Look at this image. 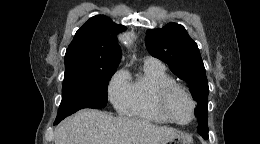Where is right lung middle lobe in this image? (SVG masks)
I'll return each instance as SVG.
<instances>
[{
	"label": "right lung middle lobe",
	"instance_id": "obj_1",
	"mask_svg": "<svg viewBox=\"0 0 260 144\" xmlns=\"http://www.w3.org/2000/svg\"><path fill=\"white\" fill-rule=\"evenodd\" d=\"M116 69L65 73L62 101L56 117L60 122L65 117L83 108L99 109L108 101V83Z\"/></svg>",
	"mask_w": 260,
	"mask_h": 144
}]
</instances>
